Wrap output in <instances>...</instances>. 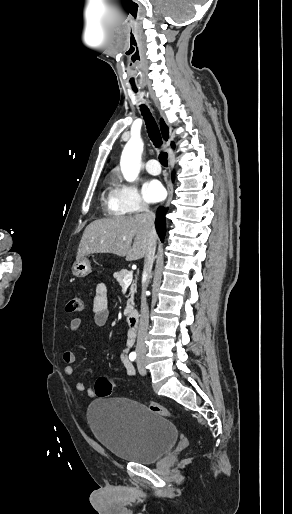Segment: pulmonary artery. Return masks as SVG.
I'll return each mask as SVG.
<instances>
[{"label": "pulmonary artery", "mask_w": 292, "mask_h": 514, "mask_svg": "<svg viewBox=\"0 0 292 514\" xmlns=\"http://www.w3.org/2000/svg\"><path fill=\"white\" fill-rule=\"evenodd\" d=\"M147 170L150 174L156 175L160 170V163L156 157H150L147 163Z\"/></svg>", "instance_id": "pulmonary-artery-1"}]
</instances>
